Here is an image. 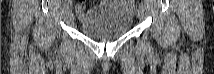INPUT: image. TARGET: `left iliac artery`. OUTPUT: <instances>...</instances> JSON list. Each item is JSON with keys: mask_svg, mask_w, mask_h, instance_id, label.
Wrapping results in <instances>:
<instances>
[{"mask_svg": "<svg viewBox=\"0 0 214 74\" xmlns=\"http://www.w3.org/2000/svg\"><path fill=\"white\" fill-rule=\"evenodd\" d=\"M139 8H140V9H144L143 4H140V5H139Z\"/></svg>", "mask_w": 214, "mask_h": 74, "instance_id": "left-iliac-artery-1", "label": "left iliac artery"}]
</instances>
